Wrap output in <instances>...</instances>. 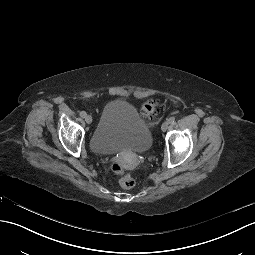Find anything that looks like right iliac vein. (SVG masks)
Instances as JSON below:
<instances>
[{
	"instance_id": "1",
	"label": "right iliac vein",
	"mask_w": 255,
	"mask_h": 255,
	"mask_svg": "<svg viewBox=\"0 0 255 255\" xmlns=\"http://www.w3.org/2000/svg\"><path fill=\"white\" fill-rule=\"evenodd\" d=\"M85 121H86V123L91 124V122H92V117H91L90 115H86V116H85Z\"/></svg>"
}]
</instances>
